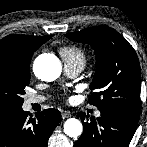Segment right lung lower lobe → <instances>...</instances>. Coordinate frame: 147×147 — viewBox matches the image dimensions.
Instances as JSON below:
<instances>
[{"label": "right lung lower lobe", "instance_id": "right-lung-lower-lobe-1", "mask_svg": "<svg viewBox=\"0 0 147 147\" xmlns=\"http://www.w3.org/2000/svg\"><path fill=\"white\" fill-rule=\"evenodd\" d=\"M57 109H45L33 118L18 111L0 115V147H47L48 139L59 124Z\"/></svg>", "mask_w": 147, "mask_h": 147}]
</instances>
